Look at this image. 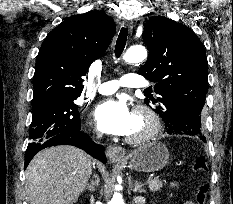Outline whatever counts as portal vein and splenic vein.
Segmentation results:
<instances>
[{"label":"portal vein and splenic vein","instance_id":"1","mask_svg":"<svg viewBox=\"0 0 233 204\" xmlns=\"http://www.w3.org/2000/svg\"><path fill=\"white\" fill-rule=\"evenodd\" d=\"M148 180H150V179H148ZM154 180H158V177H154Z\"/></svg>","mask_w":233,"mask_h":204}]
</instances>
